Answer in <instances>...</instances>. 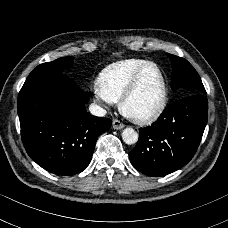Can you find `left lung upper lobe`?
<instances>
[{
    "mask_svg": "<svg viewBox=\"0 0 228 228\" xmlns=\"http://www.w3.org/2000/svg\"><path fill=\"white\" fill-rule=\"evenodd\" d=\"M172 61V90L187 89L190 95L206 94L201 78L193 66L184 58L167 54Z\"/></svg>",
    "mask_w": 228,
    "mask_h": 228,
    "instance_id": "5c2ea615",
    "label": "left lung upper lobe"
}]
</instances>
